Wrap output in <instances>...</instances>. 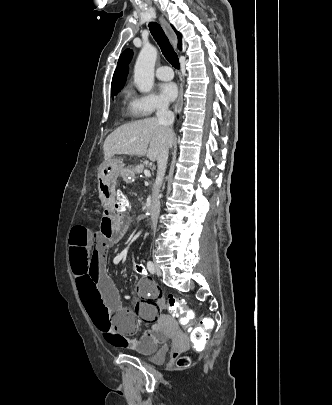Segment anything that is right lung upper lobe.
<instances>
[{
    "mask_svg": "<svg viewBox=\"0 0 332 405\" xmlns=\"http://www.w3.org/2000/svg\"><path fill=\"white\" fill-rule=\"evenodd\" d=\"M177 37H178V48L182 49V35L178 31H176ZM133 56V51L130 49H126L121 55L118 60V64L116 67V70L113 75L112 79V87H115L121 83H125L126 77L129 71L128 64L131 61V58Z\"/></svg>",
    "mask_w": 332,
    "mask_h": 405,
    "instance_id": "obj_1",
    "label": "right lung upper lobe"
}]
</instances>
